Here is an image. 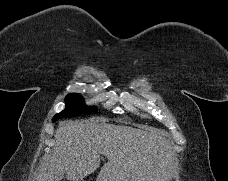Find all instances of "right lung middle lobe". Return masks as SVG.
<instances>
[{
	"label": "right lung middle lobe",
	"instance_id": "right-lung-middle-lobe-1",
	"mask_svg": "<svg viewBox=\"0 0 228 181\" xmlns=\"http://www.w3.org/2000/svg\"><path fill=\"white\" fill-rule=\"evenodd\" d=\"M66 108L62 112L56 114L52 121L55 122L60 118L73 117L80 114H96V107H87L84 105L83 97L79 94H69L65 98Z\"/></svg>",
	"mask_w": 228,
	"mask_h": 181
}]
</instances>
